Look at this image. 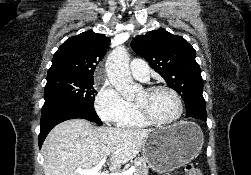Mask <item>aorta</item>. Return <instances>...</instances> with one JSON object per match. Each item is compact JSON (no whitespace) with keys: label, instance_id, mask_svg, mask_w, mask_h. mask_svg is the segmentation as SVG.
Wrapping results in <instances>:
<instances>
[{"label":"aorta","instance_id":"aorta-1","mask_svg":"<svg viewBox=\"0 0 251 175\" xmlns=\"http://www.w3.org/2000/svg\"><path fill=\"white\" fill-rule=\"evenodd\" d=\"M108 80L113 88L120 91L124 97H130L140 88V84H134L129 72V56L124 46H117L112 50L105 64Z\"/></svg>","mask_w":251,"mask_h":175}]
</instances>
